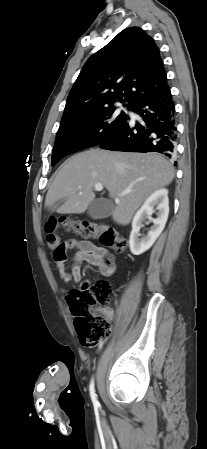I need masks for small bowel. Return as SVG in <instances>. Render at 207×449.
Here are the masks:
<instances>
[{"label":"small bowel","mask_w":207,"mask_h":449,"mask_svg":"<svg viewBox=\"0 0 207 449\" xmlns=\"http://www.w3.org/2000/svg\"><path fill=\"white\" fill-rule=\"evenodd\" d=\"M67 249L76 252L73 256L71 270L68 271L64 263H57L60 278L64 283L73 281L79 283L82 279L81 266L83 262L99 269L101 275L111 276L116 270L115 257L104 247L94 245L88 240L72 239L67 242ZM65 292L64 289H61Z\"/></svg>","instance_id":"1"}]
</instances>
